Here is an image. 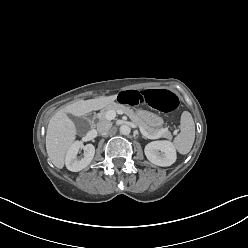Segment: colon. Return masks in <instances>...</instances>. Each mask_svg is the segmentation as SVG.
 <instances>
[{"mask_svg": "<svg viewBox=\"0 0 248 248\" xmlns=\"http://www.w3.org/2000/svg\"><path fill=\"white\" fill-rule=\"evenodd\" d=\"M120 105L149 104L161 112L174 111L178 106L177 96L167 89H130L116 96Z\"/></svg>", "mask_w": 248, "mask_h": 248, "instance_id": "1", "label": "colon"}]
</instances>
